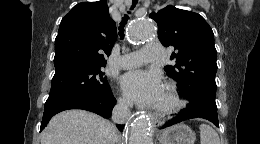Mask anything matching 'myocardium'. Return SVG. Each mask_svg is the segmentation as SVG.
<instances>
[{"mask_svg": "<svg viewBox=\"0 0 260 144\" xmlns=\"http://www.w3.org/2000/svg\"><path fill=\"white\" fill-rule=\"evenodd\" d=\"M165 90L168 97V103L164 106L156 107L155 110L161 115L174 114L182 108V100L176 87L173 84H166Z\"/></svg>", "mask_w": 260, "mask_h": 144, "instance_id": "f54148a6", "label": "myocardium"}]
</instances>
